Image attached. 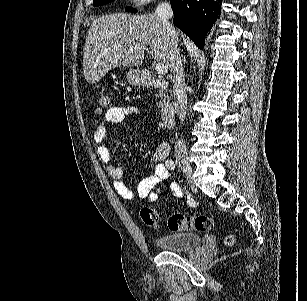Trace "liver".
I'll list each match as a JSON object with an SVG mask.
<instances>
[{
  "label": "liver",
  "mask_w": 307,
  "mask_h": 301,
  "mask_svg": "<svg viewBox=\"0 0 307 301\" xmlns=\"http://www.w3.org/2000/svg\"><path fill=\"white\" fill-rule=\"evenodd\" d=\"M148 46L152 58L172 70L174 44L159 16L151 12H115L95 18L83 48L84 76L87 82H98L108 70L116 66H139Z\"/></svg>",
  "instance_id": "1"
}]
</instances>
